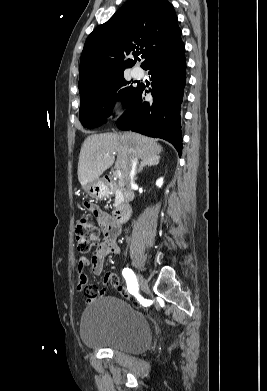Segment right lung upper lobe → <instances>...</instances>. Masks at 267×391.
<instances>
[{
  "label": "right lung upper lobe",
  "mask_w": 267,
  "mask_h": 391,
  "mask_svg": "<svg viewBox=\"0 0 267 391\" xmlns=\"http://www.w3.org/2000/svg\"><path fill=\"white\" fill-rule=\"evenodd\" d=\"M181 30L167 0H127L104 24L88 36L80 59V94L104 78L132 67L142 54L145 68L181 43Z\"/></svg>",
  "instance_id": "right-lung-upper-lobe-1"
}]
</instances>
